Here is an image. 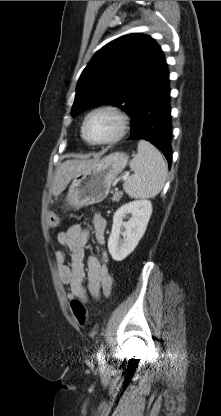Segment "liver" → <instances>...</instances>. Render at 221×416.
I'll list each match as a JSON object with an SVG mask.
<instances>
[{
    "mask_svg": "<svg viewBox=\"0 0 221 416\" xmlns=\"http://www.w3.org/2000/svg\"><path fill=\"white\" fill-rule=\"evenodd\" d=\"M98 158L84 159V160H66L56 171L55 178L52 185V193L58 196L67 187L69 182L81 171L90 168L93 164L98 162Z\"/></svg>",
    "mask_w": 221,
    "mask_h": 416,
    "instance_id": "6515ba94",
    "label": "liver"
}]
</instances>
